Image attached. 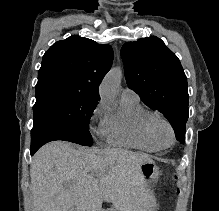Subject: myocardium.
<instances>
[{
    "mask_svg": "<svg viewBox=\"0 0 219 211\" xmlns=\"http://www.w3.org/2000/svg\"><path fill=\"white\" fill-rule=\"evenodd\" d=\"M161 125L166 126L170 132V135H171V141L167 144L162 143L158 137V128ZM146 129H147V132H148L149 136L151 137V139L159 147H162V148L170 147L175 142V132H174V128H173L172 124L170 123V121L168 119H166L160 115L150 116L146 122Z\"/></svg>",
    "mask_w": 219,
    "mask_h": 211,
    "instance_id": "myocardium-1",
    "label": "myocardium"
}]
</instances>
